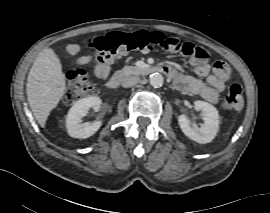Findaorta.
<instances>
[{
    "label": "aorta",
    "mask_w": 270,
    "mask_h": 213,
    "mask_svg": "<svg viewBox=\"0 0 270 213\" xmlns=\"http://www.w3.org/2000/svg\"><path fill=\"white\" fill-rule=\"evenodd\" d=\"M149 80L151 86H153L154 88H159L164 83L163 76L158 72L151 74Z\"/></svg>",
    "instance_id": "obj_1"
}]
</instances>
